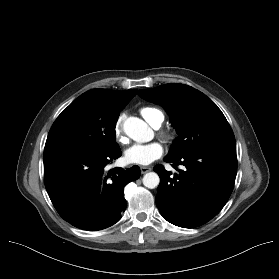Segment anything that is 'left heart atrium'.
Segmentation results:
<instances>
[{
  "label": "left heart atrium",
  "mask_w": 279,
  "mask_h": 279,
  "mask_svg": "<svg viewBox=\"0 0 279 279\" xmlns=\"http://www.w3.org/2000/svg\"><path fill=\"white\" fill-rule=\"evenodd\" d=\"M163 146L159 142L135 144L125 151V160L131 164L149 165L163 154Z\"/></svg>",
  "instance_id": "left-heart-atrium-1"
}]
</instances>
